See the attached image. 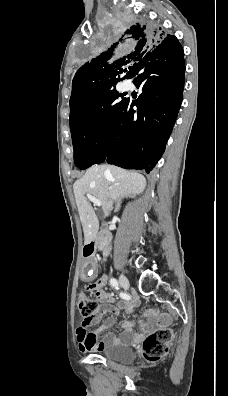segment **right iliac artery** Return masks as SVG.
Segmentation results:
<instances>
[{
  "label": "right iliac artery",
  "mask_w": 228,
  "mask_h": 396,
  "mask_svg": "<svg viewBox=\"0 0 228 396\" xmlns=\"http://www.w3.org/2000/svg\"><path fill=\"white\" fill-rule=\"evenodd\" d=\"M110 284L112 287H114L115 289H119V283L115 278H111L110 279Z\"/></svg>",
  "instance_id": "right-iliac-artery-1"
}]
</instances>
